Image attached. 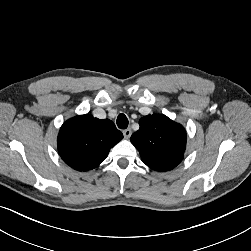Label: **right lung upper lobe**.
<instances>
[{
    "label": "right lung upper lobe",
    "mask_w": 251,
    "mask_h": 251,
    "mask_svg": "<svg viewBox=\"0 0 251 251\" xmlns=\"http://www.w3.org/2000/svg\"><path fill=\"white\" fill-rule=\"evenodd\" d=\"M123 138L109 119L78 115L67 120L58 135V152L63 161L78 171L96 168L110 149Z\"/></svg>",
    "instance_id": "1"
}]
</instances>
